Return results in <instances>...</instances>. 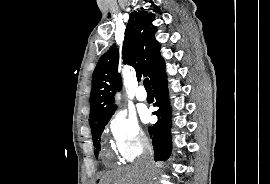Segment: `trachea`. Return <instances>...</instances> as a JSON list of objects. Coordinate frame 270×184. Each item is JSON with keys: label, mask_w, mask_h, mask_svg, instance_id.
Wrapping results in <instances>:
<instances>
[{"label": "trachea", "mask_w": 270, "mask_h": 184, "mask_svg": "<svg viewBox=\"0 0 270 184\" xmlns=\"http://www.w3.org/2000/svg\"><path fill=\"white\" fill-rule=\"evenodd\" d=\"M144 86H145V89H146L147 91H152V88H151V85H150V81H149L148 78H146V79L144 80Z\"/></svg>", "instance_id": "1"}]
</instances>
